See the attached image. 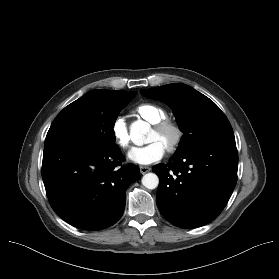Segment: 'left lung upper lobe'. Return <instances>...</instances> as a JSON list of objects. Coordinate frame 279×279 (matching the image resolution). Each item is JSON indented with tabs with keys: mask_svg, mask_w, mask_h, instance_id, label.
<instances>
[{
	"mask_svg": "<svg viewBox=\"0 0 279 279\" xmlns=\"http://www.w3.org/2000/svg\"><path fill=\"white\" fill-rule=\"evenodd\" d=\"M147 98L164 101L172 109L184 133L174 155L180 156L206 143L235 142L232 127L220 108L192 87L173 83L153 89H141Z\"/></svg>",
	"mask_w": 279,
	"mask_h": 279,
	"instance_id": "obj_1",
	"label": "left lung upper lobe"
}]
</instances>
